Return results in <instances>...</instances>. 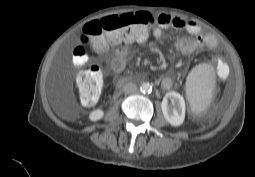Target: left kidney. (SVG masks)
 Here are the masks:
<instances>
[{"instance_id":"obj_1","label":"left kidney","mask_w":255,"mask_h":177,"mask_svg":"<svg viewBox=\"0 0 255 177\" xmlns=\"http://www.w3.org/2000/svg\"><path fill=\"white\" fill-rule=\"evenodd\" d=\"M167 98L173 99V106L168 105ZM164 118L172 126H180L185 119V101L184 98L177 92H168L161 103Z\"/></svg>"}]
</instances>
